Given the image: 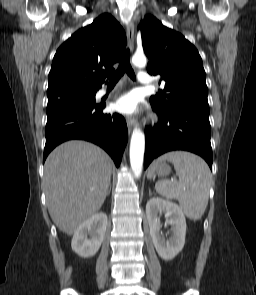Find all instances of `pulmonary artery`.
Segmentation results:
<instances>
[{
  "mask_svg": "<svg viewBox=\"0 0 256 295\" xmlns=\"http://www.w3.org/2000/svg\"><path fill=\"white\" fill-rule=\"evenodd\" d=\"M138 81L141 84H151L152 83V79L150 78V75L147 72L144 71H140L138 74ZM107 93L106 89H102L100 90V95H104Z\"/></svg>",
  "mask_w": 256,
  "mask_h": 295,
  "instance_id": "obj_1",
  "label": "pulmonary artery"
}]
</instances>
